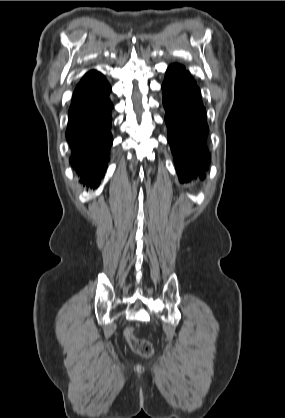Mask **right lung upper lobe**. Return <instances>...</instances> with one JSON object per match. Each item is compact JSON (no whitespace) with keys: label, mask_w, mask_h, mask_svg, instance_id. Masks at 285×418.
<instances>
[{"label":"right lung upper lobe","mask_w":285,"mask_h":418,"mask_svg":"<svg viewBox=\"0 0 285 418\" xmlns=\"http://www.w3.org/2000/svg\"><path fill=\"white\" fill-rule=\"evenodd\" d=\"M94 72H96V71H90V72H88L86 75L91 74V73H94ZM86 75H85V76H86Z\"/></svg>","instance_id":"cb5924a9"}]
</instances>
